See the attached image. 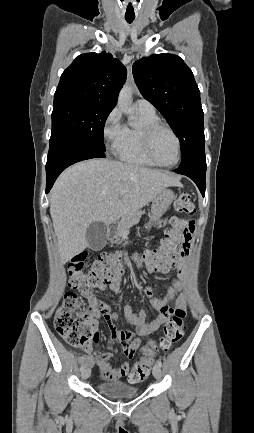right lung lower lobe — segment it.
<instances>
[{
	"instance_id": "right-lung-lower-lobe-1",
	"label": "right lung lower lobe",
	"mask_w": 254,
	"mask_h": 433,
	"mask_svg": "<svg viewBox=\"0 0 254 433\" xmlns=\"http://www.w3.org/2000/svg\"><path fill=\"white\" fill-rule=\"evenodd\" d=\"M104 152L96 150L73 138L64 136L50 144L46 164V193L59 174L68 166L91 158H103Z\"/></svg>"
}]
</instances>
